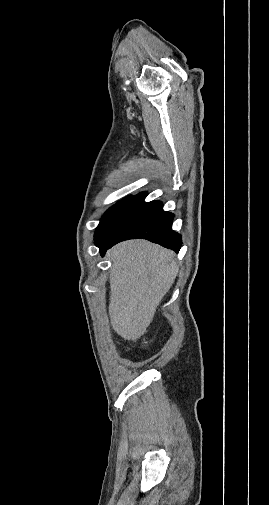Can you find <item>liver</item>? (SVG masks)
<instances>
[{
  "label": "liver",
  "mask_w": 269,
  "mask_h": 505,
  "mask_svg": "<svg viewBox=\"0 0 269 505\" xmlns=\"http://www.w3.org/2000/svg\"><path fill=\"white\" fill-rule=\"evenodd\" d=\"M109 315L114 331L125 340L139 339L178 274L175 253L146 240H129L108 251Z\"/></svg>",
  "instance_id": "liver-1"
}]
</instances>
